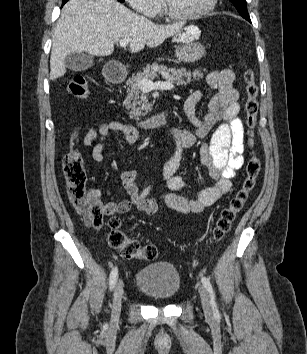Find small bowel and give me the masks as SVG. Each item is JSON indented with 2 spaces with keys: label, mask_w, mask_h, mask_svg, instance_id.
Masks as SVG:
<instances>
[{
  "label": "small bowel",
  "mask_w": 307,
  "mask_h": 354,
  "mask_svg": "<svg viewBox=\"0 0 307 354\" xmlns=\"http://www.w3.org/2000/svg\"><path fill=\"white\" fill-rule=\"evenodd\" d=\"M234 80L235 74L231 69L210 72L206 81L215 93L209 99L208 110L204 117L199 118L196 114V106L204 98L202 91L193 92L184 104V111L195 127V131L175 128L169 130L175 149L172 157L164 166L162 175L171 192L162 195V202L174 211L183 214L204 211L230 191L231 179L244 163V127L239 118V92L233 85ZM112 132L123 134L128 143H135L139 138L138 130L133 125L119 121H108L97 127H91L83 137L82 143L86 147L92 146L94 161L101 162L104 159V141ZM208 136L210 139L206 141ZM199 142H201V162L207 168L208 175L214 183L198 191L195 197L190 199L180 194L189 190V185L177 175V171L182 151ZM137 176L136 170L122 173V184L129 199H123L118 203H105L108 214L126 213L132 205L148 214H154L157 211V201L146 200L139 195L136 184ZM90 194L101 201V190L91 189Z\"/></svg>",
  "instance_id": "1"
}]
</instances>
